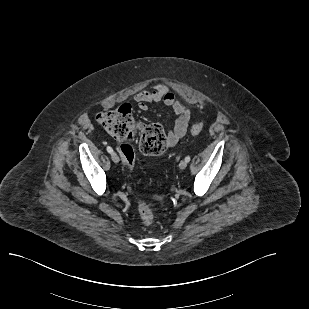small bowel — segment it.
I'll return each instance as SVG.
<instances>
[{"instance_id":"obj_1","label":"small bowel","mask_w":309,"mask_h":309,"mask_svg":"<svg viewBox=\"0 0 309 309\" xmlns=\"http://www.w3.org/2000/svg\"><path fill=\"white\" fill-rule=\"evenodd\" d=\"M138 108L146 111L150 103H163L176 115L174 127L167 135L168 146H174L183 138L188 129L190 110L163 83H155L150 90H141L134 95Z\"/></svg>"}]
</instances>
